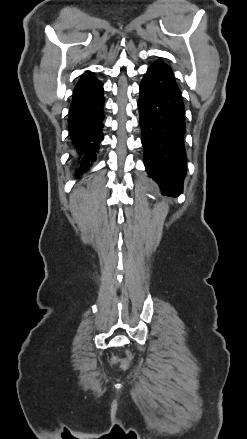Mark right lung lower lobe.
<instances>
[{"label":"right lung lower lobe","instance_id":"right-lung-lower-lobe-1","mask_svg":"<svg viewBox=\"0 0 247 439\" xmlns=\"http://www.w3.org/2000/svg\"><path fill=\"white\" fill-rule=\"evenodd\" d=\"M103 85L98 82L88 88L74 90L69 112V130L81 169L94 159L95 149L103 139Z\"/></svg>","mask_w":247,"mask_h":439}]
</instances>
